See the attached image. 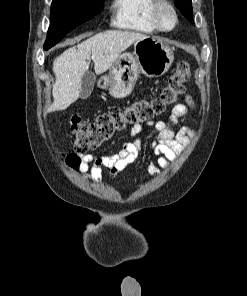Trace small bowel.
Wrapping results in <instances>:
<instances>
[{
  "label": "small bowel",
  "instance_id": "c3829d8e",
  "mask_svg": "<svg viewBox=\"0 0 247 296\" xmlns=\"http://www.w3.org/2000/svg\"><path fill=\"white\" fill-rule=\"evenodd\" d=\"M195 106L190 94L186 95V102L177 104L171 110L168 121H152L149 123L156 130L152 140L153 157L147 164V171L151 176H158L161 168L170 167L189 143L194 135L190 127L176 129L178 121L186 117ZM141 125L133 124L130 135L133 140L124 142L117 151L105 154H83L80 156L78 170L86 174L94 183H100L103 177V168L110 169V177L115 179L117 175L139 157L143 138L137 137L141 132Z\"/></svg>",
  "mask_w": 247,
  "mask_h": 296
}]
</instances>
